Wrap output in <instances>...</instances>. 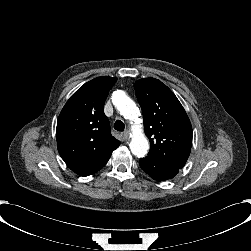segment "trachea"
I'll return each mask as SVG.
<instances>
[{
    "instance_id": "1",
    "label": "trachea",
    "mask_w": 251,
    "mask_h": 251,
    "mask_svg": "<svg viewBox=\"0 0 251 251\" xmlns=\"http://www.w3.org/2000/svg\"><path fill=\"white\" fill-rule=\"evenodd\" d=\"M114 129L117 131H124L125 125L121 120H117L114 124Z\"/></svg>"
}]
</instances>
